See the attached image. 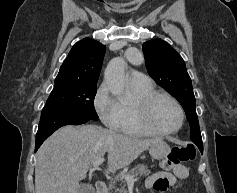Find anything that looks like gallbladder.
<instances>
[{"label": "gallbladder", "mask_w": 237, "mask_h": 193, "mask_svg": "<svg viewBox=\"0 0 237 193\" xmlns=\"http://www.w3.org/2000/svg\"><path fill=\"white\" fill-rule=\"evenodd\" d=\"M78 193H94V188L91 185L81 184Z\"/></svg>", "instance_id": "gallbladder-1"}]
</instances>
